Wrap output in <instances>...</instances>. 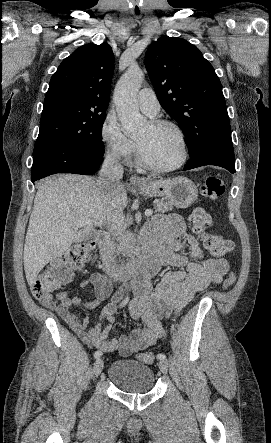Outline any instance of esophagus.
<instances>
[{
  "label": "esophagus",
  "instance_id": "1",
  "mask_svg": "<svg viewBox=\"0 0 271 443\" xmlns=\"http://www.w3.org/2000/svg\"><path fill=\"white\" fill-rule=\"evenodd\" d=\"M130 183L131 184H143V183H146V181L143 180L142 178L138 177L137 175H131L130 176Z\"/></svg>",
  "mask_w": 271,
  "mask_h": 443
}]
</instances>
